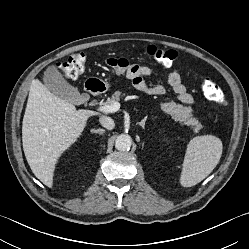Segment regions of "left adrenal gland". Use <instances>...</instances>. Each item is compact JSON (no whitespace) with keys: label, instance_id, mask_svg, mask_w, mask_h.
Instances as JSON below:
<instances>
[{"label":"left adrenal gland","instance_id":"obj_1","mask_svg":"<svg viewBox=\"0 0 249 249\" xmlns=\"http://www.w3.org/2000/svg\"><path fill=\"white\" fill-rule=\"evenodd\" d=\"M147 120V116L144 117V119L141 120V122H139V125L144 129L145 128V122Z\"/></svg>","mask_w":249,"mask_h":249}]
</instances>
